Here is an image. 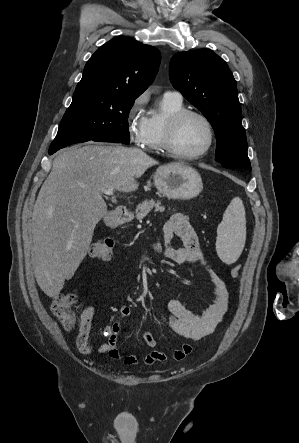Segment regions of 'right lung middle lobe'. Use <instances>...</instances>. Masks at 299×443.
<instances>
[{
  "label": "right lung middle lobe",
  "instance_id": "dd1d6c3e",
  "mask_svg": "<svg viewBox=\"0 0 299 443\" xmlns=\"http://www.w3.org/2000/svg\"><path fill=\"white\" fill-rule=\"evenodd\" d=\"M134 100L101 91L74 92L50 149L103 137L128 144V116Z\"/></svg>",
  "mask_w": 299,
  "mask_h": 443
}]
</instances>
